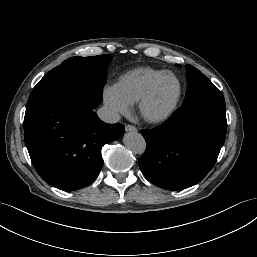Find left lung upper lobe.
I'll list each match as a JSON object with an SVG mask.
<instances>
[{
    "instance_id": "obj_1",
    "label": "left lung upper lobe",
    "mask_w": 257,
    "mask_h": 257,
    "mask_svg": "<svg viewBox=\"0 0 257 257\" xmlns=\"http://www.w3.org/2000/svg\"><path fill=\"white\" fill-rule=\"evenodd\" d=\"M186 75L188 85L182 107L195 106L211 100H224L218 88L195 67L186 65Z\"/></svg>"
}]
</instances>
